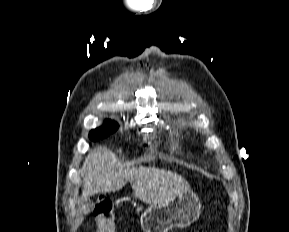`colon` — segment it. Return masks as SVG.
Wrapping results in <instances>:
<instances>
[{"label":"colon","mask_w":289,"mask_h":232,"mask_svg":"<svg viewBox=\"0 0 289 232\" xmlns=\"http://www.w3.org/2000/svg\"><path fill=\"white\" fill-rule=\"evenodd\" d=\"M94 215L96 218L97 232H117L113 203L109 197L101 195L98 198L94 209ZM191 232L203 231L194 230Z\"/></svg>","instance_id":"5ec220e1"}]
</instances>
